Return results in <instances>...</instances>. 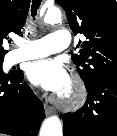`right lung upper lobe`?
I'll use <instances>...</instances> for the list:
<instances>
[{"label": "right lung upper lobe", "instance_id": "cb5924a9", "mask_svg": "<svg viewBox=\"0 0 117 136\" xmlns=\"http://www.w3.org/2000/svg\"><path fill=\"white\" fill-rule=\"evenodd\" d=\"M30 0H0V59H4L7 50H4L3 39L10 33L21 35Z\"/></svg>", "mask_w": 117, "mask_h": 136}]
</instances>
